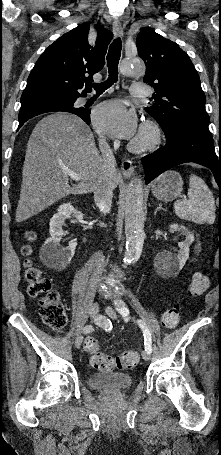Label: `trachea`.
I'll use <instances>...</instances> for the list:
<instances>
[{
    "label": "trachea",
    "mask_w": 221,
    "mask_h": 455,
    "mask_svg": "<svg viewBox=\"0 0 221 455\" xmlns=\"http://www.w3.org/2000/svg\"><path fill=\"white\" fill-rule=\"evenodd\" d=\"M122 42L120 38L115 39L110 45L109 52L107 55V65L109 77L102 83H94L92 87L96 93H103L113 83L118 80V63L121 56Z\"/></svg>",
    "instance_id": "trachea-1"
}]
</instances>
